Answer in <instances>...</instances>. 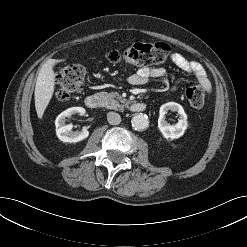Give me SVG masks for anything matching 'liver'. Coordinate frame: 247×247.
Wrapping results in <instances>:
<instances>
[{
	"mask_svg": "<svg viewBox=\"0 0 247 247\" xmlns=\"http://www.w3.org/2000/svg\"><path fill=\"white\" fill-rule=\"evenodd\" d=\"M62 60L50 59L41 68L35 86V108L41 119L47 108L55 89L54 66Z\"/></svg>",
	"mask_w": 247,
	"mask_h": 247,
	"instance_id": "liver-1",
	"label": "liver"
}]
</instances>
